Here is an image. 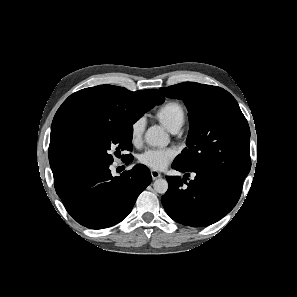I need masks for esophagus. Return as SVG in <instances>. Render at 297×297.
<instances>
[{
	"mask_svg": "<svg viewBox=\"0 0 297 297\" xmlns=\"http://www.w3.org/2000/svg\"><path fill=\"white\" fill-rule=\"evenodd\" d=\"M151 176L153 180H156L161 177V174L156 170H151Z\"/></svg>",
	"mask_w": 297,
	"mask_h": 297,
	"instance_id": "obj_1",
	"label": "esophagus"
}]
</instances>
